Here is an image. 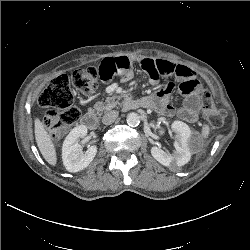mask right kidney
Segmentation results:
<instances>
[{
  "label": "right kidney",
  "instance_id": "right-kidney-1",
  "mask_svg": "<svg viewBox=\"0 0 250 250\" xmlns=\"http://www.w3.org/2000/svg\"><path fill=\"white\" fill-rule=\"evenodd\" d=\"M87 128L80 125L71 130L63 142L62 160L65 168L69 172H78L85 169L94 159L97 153L95 145L88 148L85 153H81V146L78 139L86 136Z\"/></svg>",
  "mask_w": 250,
  "mask_h": 250
}]
</instances>
